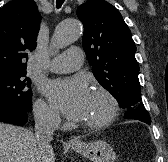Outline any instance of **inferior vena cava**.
Returning <instances> with one entry per match:
<instances>
[{
    "mask_svg": "<svg viewBox=\"0 0 168 162\" xmlns=\"http://www.w3.org/2000/svg\"><path fill=\"white\" fill-rule=\"evenodd\" d=\"M59 119L51 111L42 109L35 113V139L40 147H46L53 139Z\"/></svg>",
    "mask_w": 168,
    "mask_h": 162,
    "instance_id": "obj_1",
    "label": "inferior vena cava"
}]
</instances>
